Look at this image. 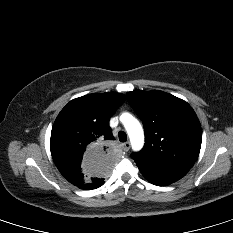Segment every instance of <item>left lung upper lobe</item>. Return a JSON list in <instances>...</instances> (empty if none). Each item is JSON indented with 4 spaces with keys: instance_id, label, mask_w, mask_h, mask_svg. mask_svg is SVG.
<instances>
[{
    "instance_id": "5c2ea615",
    "label": "left lung upper lobe",
    "mask_w": 233,
    "mask_h": 233,
    "mask_svg": "<svg viewBox=\"0 0 233 233\" xmlns=\"http://www.w3.org/2000/svg\"><path fill=\"white\" fill-rule=\"evenodd\" d=\"M127 100L143 122L145 145L131 157L156 166L191 168L201 148V125L192 107L163 91L135 90Z\"/></svg>"
}]
</instances>
